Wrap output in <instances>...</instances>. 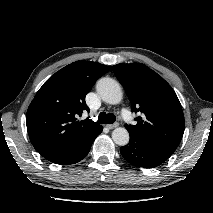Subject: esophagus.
<instances>
[{
  "mask_svg": "<svg viewBox=\"0 0 213 213\" xmlns=\"http://www.w3.org/2000/svg\"><path fill=\"white\" fill-rule=\"evenodd\" d=\"M119 126V124L118 123H114V124H108V125H106V127L107 128H109V129H114V128H117Z\"/></svg>",
  "mask_w": 213,
  "mask_h": 213,
  "instance_id": "esophagus-1",
  "label": "esophagus"
}]
</instances>
